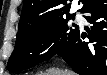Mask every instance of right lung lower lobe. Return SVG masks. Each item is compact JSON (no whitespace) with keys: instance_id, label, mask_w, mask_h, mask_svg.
Returning a JSON list of instances; mask_svg holds the SVG:
<instances>
[{"instance_id":"1","label":"right lung lower lobe","mask_w":107,"mask_h":75,"mask_svg":"<svg viewBox=\"0 0 107 75\" xmlns=\"http://www.w3.org/2000/svg\"><path fill=\"white\" fill-rule=\"evenodd\" d=\"M80 12L89 14L85 18L93 26L79 30L56 55L80 75H107V1L86 0Z\"/></svg>"}]
</instances>
